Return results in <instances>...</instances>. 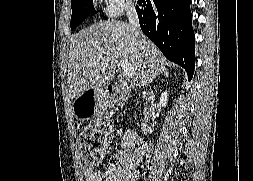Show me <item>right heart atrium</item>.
<instances>
[{"instance_id": "1", "label": "right heart atrium", "mask_w": 253, "mask_h": 181, "mask_svg": "<svg viewBox=\"0 0 253 181\" xmlns=\"http://www.w3.org/2000/svg\"><path fill=\"white\" fill-rule=\"evenodd\" d=\"M106 13L110 16L117 17L131 11L135 7L133 0H101Z\"/></svg>"}]
</instances>
